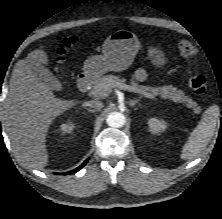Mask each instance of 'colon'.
I'll return each instance as SVG.
<instances>
[{
	"instance_id": "1",
	"label": "colon",
	"mask_w": 222,
	"mask_h": 219,
	"mask_svg": "<svg viewBox=\"0 0 222 219\" xmlns=\"http://www.w3.org/2000/svg\"><path fill=\"white\" fill-rule=\"evenodd\" d=\"M79 39L77 37H70L63 41L62 48L59 52V61L64 60V54L66 53V49L70 48L71 46L75 45ZM179 52L182 56L187 58L190 63V69H189V80L188 85L191 91L195 94L202 95L207 90V82L206 79L200 75L194 72L193 65L196 62V48L193 45L192 42L188 40H182L178 44Z\"/></svg>"
}]
</instances>
